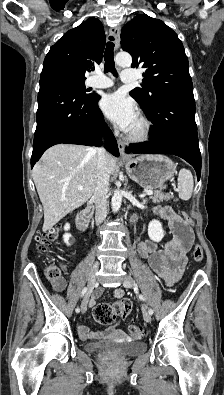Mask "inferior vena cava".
<instances>
[{"label": "inferior vena cava", "mask_w": 224, "mask_h": 395, "mask_svg": "<svg viewBox=\"0 0 224 395\" xmlns=\"http://www.w3.org/2000/svg\"><path fill=\"white\" fill-rule=\"evenodd\" d=\"M97 151V174L96 186L93 193V200L96 207V225L101 224L107 216L108 186L110 171L108 168L107 152L103 147L96 148Z\"/></svg>", "instance_id": "1"}]
</instances>
